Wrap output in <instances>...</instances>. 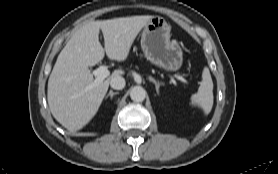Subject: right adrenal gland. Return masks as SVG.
<instances>
[{"label": "right adrenal gland", "instance_id": "right-adrenal-gland-1", "mask_svg": "<svg viewBox=\"0 0 278 174\" xmlns=\"http://www.w3.org/2000/svg\"><path fill=\"white\" fill-rule=\"evenodd\" d=\"M119 94L118 92H113L112 90L109 91V93L106 95L105 99L110 97L111 99L113 98L114 95Z\"/></svg>", "mask_w": 278, "mask_h": 174}]
</instances>
